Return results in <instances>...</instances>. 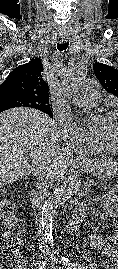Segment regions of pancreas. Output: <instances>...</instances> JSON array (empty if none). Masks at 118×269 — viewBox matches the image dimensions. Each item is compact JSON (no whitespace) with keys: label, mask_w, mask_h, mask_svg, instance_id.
I'll return each instance as SVG.
<instances>
[{"label":"pancreas","mask_w":118,"mask_h":269,"mask_svg":"<svg viewBox=\"0 0 118 269\" xmlns=\"http://www.w3.org/2000/svg\"><path fill=\"white\" fill-rule=\"evenodd\" d=\"M96 190H101L104 192L111 191V185L113 184L112 180H105V179H96Z\"/></svg>","instance_id":"cf45deb5"}]
</instances>
